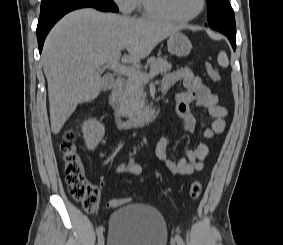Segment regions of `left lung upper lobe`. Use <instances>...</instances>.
Masks as SVG:
<instances>
[{
  "label": "left lung upper lobe",
  "instance_id": "left-lung-upper-lobe-1",
  "mask_svg": "<svg viewBox=\"0 0 283 245\" xmlns=\"http://www.w3.org/2000/svg\"><path fill=\"white\" fill-rule=\"evenodd\" d=\"M207 20L211 28L236 35L235 17L229 0H207Z\"/></svg>",
  "mask_w": 283,
  "mask_h": 245
}]
</instances>
